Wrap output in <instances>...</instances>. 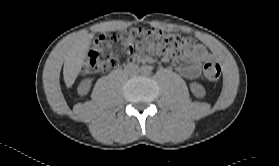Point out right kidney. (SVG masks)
<instances>
[{"mask_svg": "<svg viewBox=\"0 0 279 166\" xmlns=\"http://www.w3.org/2000/svg\"><path fill=\"white\" fill-rule=\"evenodd\" d=\"M90 86H91V80L89 79H85L83 80L79 87H78V92L81 94V95H85L88 93L89 89H90Z\"/></svg>", "mask_w": 279, "mask_h": 166, "instance_id": "right-kidney-1", "label": "right kidney"}]
</instances>
